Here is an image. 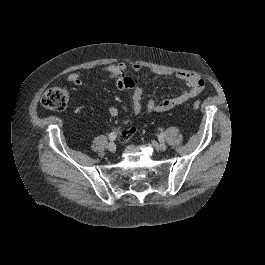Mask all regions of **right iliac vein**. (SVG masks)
I'll return each instance as SVG.
<instances>
[{"mask_svg": "<svg viewBox=\"0 0 265 265\" xmlns=\"http://www.w3.org/2000/svg\"><path fill=\"white\" fill-rule=\"evenodd\" d=\"M108 150L110 152L114 153L116 151V145H115V143H113V142L109 143Z\"/></svg>", "mask_w": 265, "mask_h": 265, "instance_id": "1", "label": "right iliac vein"}]
</instances>
